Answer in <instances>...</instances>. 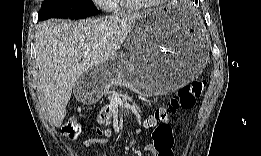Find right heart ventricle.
I'll return each instance as SVG.
<instances>
[{"label": "right heart ventricle", "instance_id": "e07e8e85", "mask_svg": "<svg viewBox=\"0 0 261 156\" xmlns=\"http://www.w3.org/2000/svg\"><path fill=\"white\" fill-rule=\"evenodd\" d=\"M113 4L115 7H119L120 5H122L121 1H113Z\"/></svg>", "mask_w": 261, "mask_h": 156}]
</instances>
